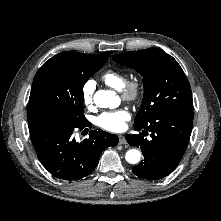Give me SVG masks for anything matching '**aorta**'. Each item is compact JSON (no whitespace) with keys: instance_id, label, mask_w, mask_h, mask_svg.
<instances>
[{"instance_id":"762f6f07","label":"aorta","mask_w":221,"mask_h":221,"mask_svg":"<svg viewBox=\"0 0 221 221\" xmlns=\"http://www.w3.org/2000/svg\"><path fill=\"white\" fill-rule=\"evenodd\" d=\"M116 102L114 92L109 90H98L94 94V103L100 108L112 107ZM141 153L137 149H130L126 152V161L130 164H137L140 161Z\"/></svg>"}]
</instances>
